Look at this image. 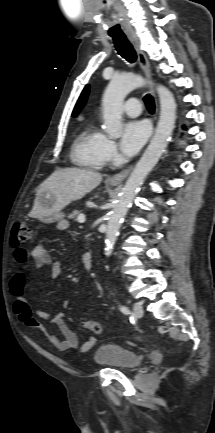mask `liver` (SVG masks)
Wrapping results in <instances>:
<instances>
[{"instance_id": "liver-1", "label": "liver", "mask_w": 215, "mask_h": 433, "mask_svg": "<svg viewBox=\"0 0 215 433\" xmlns=\"http://www.w3.org/2000/svg\"><path fill=\"white\" fill-rule=\"evenodd\" d=\"M98 172L76 167L58 169L53 172L37 189L34 206L30 216L41 219L53 211L61 210L70 202L83 198L102 181ZM41 192L53 196L51 209L43 208L39 203Z\"/></svg>"}]
</instances>
